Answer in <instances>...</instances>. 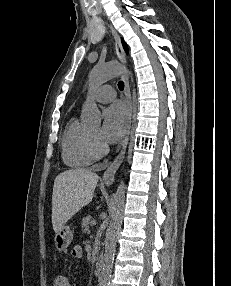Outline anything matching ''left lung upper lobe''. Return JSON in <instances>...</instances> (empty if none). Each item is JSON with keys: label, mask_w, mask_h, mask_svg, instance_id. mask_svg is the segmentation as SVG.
<instances>
[{"label": "left lung upper lobe", "mask_w": 231, "mask_h": 286, "mask_svg": "<svg viewBox=\"0 0 231 286\" xmlns=\"http://www.w3.org/2000/svg\"><path fill=\"white\" fill-rule=\"evenodd\" d=\"M122 44H123V47H124L125 51H127V45H126V43L123 40H122Z\"/></svg>", "instance_id": "1"}]
</instances>
